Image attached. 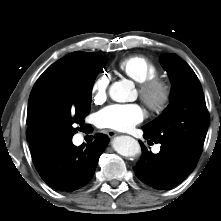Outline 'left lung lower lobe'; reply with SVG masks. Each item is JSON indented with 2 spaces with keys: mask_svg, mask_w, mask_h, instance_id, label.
<instances>
[{
  "mask_svg": "<svg viewBox=\"0 0 221 221\" xmlns=\"http://www.w3.org/2000/svg\"><path fill=\"white\" fill-rule=\"evenodd\" d=\"M144 138L150 139L143 128ZM143 155L133 169L136 176L145 184L159 190L169 189L182 182L195 168L199 157L184 147L160 143L158 154L149 152L139 141Z\"/></svg>",
  "mask_w": 221,
  "mask_h": 221,
  "instance_id": "1",
  "label": "left lung lower lobe"
}]
</instances>
